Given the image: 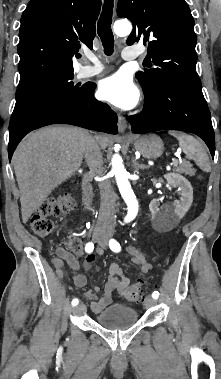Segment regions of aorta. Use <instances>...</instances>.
Masks as SVG:
<instances>
[{
	"label": "aorta",
	"mask_w": 221,
	"mask_h": 379,
	"mask_svg": "<svg viewBox=\"0 0 221 379\" xmlns=\"http://www.w3.org/2000/svg\"><path fill=\"white\" fill-rule=\"evenodd\" d=\"M132 31V25L129 21L119 20L114 24V32L117 36H127ZM112 173L115 175V179L121 193L122 198L127 204V216L125 222H130L137 216L138 213V201L131 188L128 180V173L124 167L123 160L119 154H114L111 159Z\"/></svg>",
	"instance_id": "obj_1"
}]
</instances>
